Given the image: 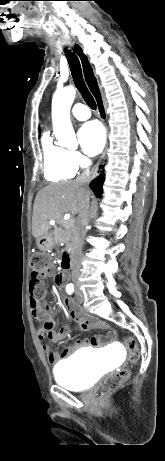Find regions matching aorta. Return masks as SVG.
<instances>
[{"label": "aorta", "instance_id": "obj_1", "mask_svg": "<svg viewBox=\"0 0 165 461\" xmlns=\"http://www.w3.org/2000/svg\"><path fill=\"white\" fill-rule=\"evenodd\" d=\"M75 88L68 86L57 90L52 99V124L59 145L74 149L78 146L70 121V108L75 98Z\"/></svg>", "mask_w": 165, "mask_h": 461}]
</instances>
